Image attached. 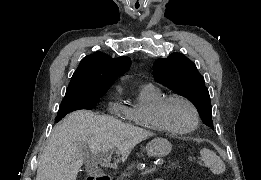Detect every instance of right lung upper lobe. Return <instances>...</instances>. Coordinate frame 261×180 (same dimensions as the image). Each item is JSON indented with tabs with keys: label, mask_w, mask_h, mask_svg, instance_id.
<instances>
[{
	"label": "right lung upper lobe",
	"mask_w": 261,
	"mask_h": 180,
	"mask_svg": "<svg viewBox=\"0 0 261 180\" xmlns=\"http://www.w3.org/2000/svg\"><path fill=\"white\" fill-rule=\"evenodd\" d=\"M131 65L129 57L111 58L102 52L84 57L74 72L67 90L107 92L112 83Z\"/></svg>",
	"instance_id": "cb5924a9"
}]
</instances>
